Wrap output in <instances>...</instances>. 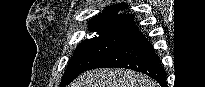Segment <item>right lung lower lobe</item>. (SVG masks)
<instances>
[{"mask_svg": "<svg viewBox=\"0 0 205 87\" xmlns=\"http://www.w3.org/2000/svg\"><path fill=\"white\" fill-rule=\"evenodd\" d=\"M103 67H119L135 70L155 79L166 86L167 73L151 43L141 32L132 35L127 41L95 62L88 70Z\"/></svg>", "mask_w": 205, "mask_h": 87, "instance_id": "right-lung-lower-lobe-1", "label": "right lung lower lobe"}]
</instances>
